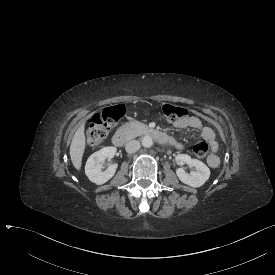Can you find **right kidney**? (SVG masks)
<instances>
[{"mask_svg":"<svg viewBox=\"0 0 275 275\" xmlns=\"http://www.w3.org/2000/svg\"><path fill=\"white\" fill-rule=\"evenodd\" d=\"M116 152L117 149L115 147L107 146L93 153L88 158L85 166V174L91 182L96 185H103L115 175L119 166L118 163L111 164L104 172H102V165L100 163L105 159H112Z\"/></svg>","mask_w":275,"mask_h":275,"instance_id":"right-kidney-1","label":"right kidney"}]
</instances>
